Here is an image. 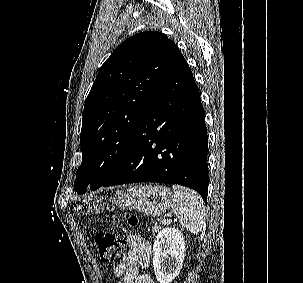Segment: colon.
<instances>
[{
    "label": "colon",
    "instance_id": "5ec220e1",
    "mask_svg": "<svg viewBox=\"0 0 303 283\" xmlns=\"http://www.w3.org/2000/svg\"><path fill=\"white\" fill-rule=\"evenodd\" d=\"M129 223H136L135 216L129 217ZM100 258L106 263H113L123 253L125 242L111 231L101 230L95 236Z\"/></svg>",
    "mask_w": 303,
    "mask_h": 283
}]
</instances>
